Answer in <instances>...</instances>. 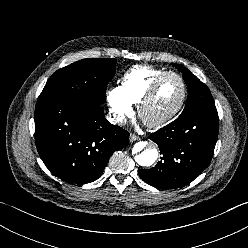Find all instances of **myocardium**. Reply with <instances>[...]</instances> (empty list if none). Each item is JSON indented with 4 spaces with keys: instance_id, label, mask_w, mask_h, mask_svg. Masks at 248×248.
Returning a JSON list of instances; mask_svg holds the SVG:
<instances>
[{
    "instance_id": "myocardium-1",
    "label": "myocardium",
    "mask_w": 248,
    "mask_h": 248,
    "mask_svg": "<svg viewBox=\"0 0 248 248\" xmlns=\"http://www.w3.org/2000/svg\"><path fill=\"white\" fill-rule=\"evenodd\" d=\"M168 76H175L177 77L182 85V94H181V98L178 102V104L168 113L161 115L159 117L150 119L146 116V111L148 106L150 105V103L152 102V100L154 99L156 92L161 84V82ZM187 85L185 80L183 79V77L173 71H166L163 74L159 75L150 85V87L148 88L147 92L145 93V95L143 96V98L141 99L140 103L138 104V114L139 117L143 120V122L151 127V128H159L165 124H167L168 122H170L172 119H174L183 109L184 104L186 102L187 99Z\"/></svg>"
}]
</instances>
